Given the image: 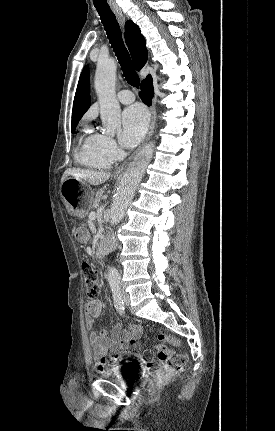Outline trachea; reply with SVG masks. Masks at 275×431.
Instances as JSON below:
<instances>
[{"label":"trachea","instance_id":"3493384b","mask_svg":"<svg viewBox=\"0 0 275 431\" xmlns=\"http://www.w3.org/2000/svg\"><path fill=\"white\" fill-rule=\"evenodd\" d=\"M96 10L100 16L111 47L117 56L125 79L130 85L139 88L140 78L134 69L128 50L124 45L121 29L115 14L110 8L96 7Z\"/></svg>","mask_w":275,"mask_h":431}]
</instances>
